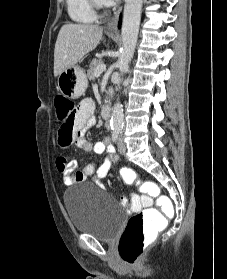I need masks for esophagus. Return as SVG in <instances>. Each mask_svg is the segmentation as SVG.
Wrapping results in <instances>:
<instances>
[{"mask_svg":"<svg viewBox=\"0 0 227 279\" xmlns=\"http://www.w3.org/2000/svg\"><path fill=\"white\" fill-rule=\"evenodd\" d=\"M121 11H122V6L119 7L114 17L107 23L105 27L106 32L117 33L118 31L117 26H118Z\"/></svg>","mask_w":227,"mask_h":279,"instance_id":"esophagus-1","label":"esophagus"}]
</instances>
